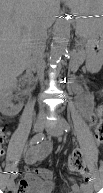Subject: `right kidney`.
<instances>
[{
	"label": "right kidney",
	"mask_w": 103,
	"mask_h": 193,
	"mask_svg": "<svg viewBox=\"0 0 103 193\" xmlns=\"http://www.w3.org/2000/svg\"><path fill=\"white\" fill-rule=\"evenodd\" d=\"M17 87L15 79H1L0 84V112L5 116H15L22 109V104L14 105L11 100L13 91Z\"/></svg>",
	"instance_id": "obj_1"
}]
</instances>
